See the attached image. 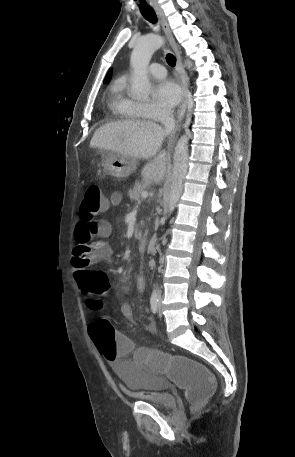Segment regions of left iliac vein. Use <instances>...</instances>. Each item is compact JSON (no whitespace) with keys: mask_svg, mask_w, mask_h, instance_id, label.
Instances as JSON below:
<instances>
[{"mask_svg":"<svg viewBox=\"0 0 295 457\" xmlns=\"http://www.w3.org/2000/svg\"><path fill=\"white\" fill-rule=\"evenodd\" d=\"M158 305H159V316H161L162 315V312H161V300H159V304Z\"/></svg>","mask_w":295,"mask_h":457,"instance_id":"4c4485c4","label":"left iliac vein"}]
</instances>
